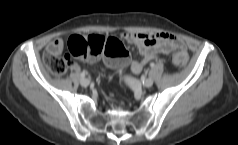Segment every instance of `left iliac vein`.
Returning a JSON list of instances; mask_svg holds the SVG:
<instances>
[{"label":"left iliac vein","instance_id":"left-iliac-vein-1","mask_svg":"<svg viewBox=\"0 0 238 145\" xmlns=\"http://www.w3.org/2000/svg\"><path fill=\"white\" fill-rule=\"evenodd\" d=\"M128 83L131 84L132 86H136L137 81L136 80H131V79H127ZM154 81L151 78H147L144 80L143 82V86L146 88H149L153 85Z\"/></svg>","mask_w":238,"mask_h":145}]
</instances>
